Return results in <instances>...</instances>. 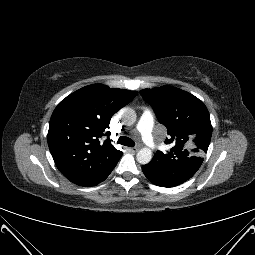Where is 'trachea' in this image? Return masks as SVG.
<instances>
[{
	"label": "trachea",
	"mask_w": 255,
	"mask_h": 255,
	"mask_svg": "<svg viewBox=\"0 0 255 255\" xmlns=\"http://www.w3.org/2000/svg\"><path fill=\"white\" fill-rule=\"evenodd\" d=\"M117 143L128 147H133L135 145V142L131 138L126 136H121L118 139Z\"/></svg>",
	"instance_id": "1"
}]
</instances>
